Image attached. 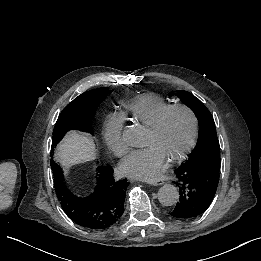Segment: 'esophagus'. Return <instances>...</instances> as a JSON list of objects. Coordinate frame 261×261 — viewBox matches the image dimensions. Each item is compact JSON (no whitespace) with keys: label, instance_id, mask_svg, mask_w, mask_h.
Returning <instances> with one entry per match:
<instances>
[{"label":"esophagus","instance_id":"34e87169","mask_svg":"<svg viewBox=\"0 0 261 261\" xmlns=\"http://www.w3.org/2000/svg\"><path fill=\"white\" fill-rule=\"evenodd\" d=\"M145 182L147 184L154 185V186H159L164 183V181L161 179H147V180H145Z\"/></svg>","mask_w":261,"mask_h":261}]
</instances>
